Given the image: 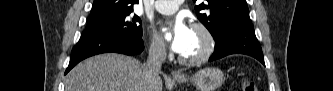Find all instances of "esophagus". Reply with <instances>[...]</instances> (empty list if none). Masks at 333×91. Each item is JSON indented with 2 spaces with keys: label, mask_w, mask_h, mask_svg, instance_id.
Masks as SVG:
<instances>
[{
  "label": "esophagus",
  "mask_w": 333,
  "mask_h": 91,
  "mask_svg": "<svg viewBox=\"0 0 333 91\" xmlns=\"http://www.w3.org/2000/svg\"><path fill=\"white\" fill-rule=\"evenodd\" d=\"M181 75V72L179 71H172V76L173 77H179Z\"/></svg>",
  "instance_id": "34e87169"
}]
</instances>
